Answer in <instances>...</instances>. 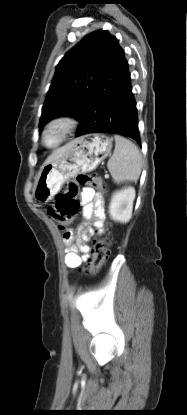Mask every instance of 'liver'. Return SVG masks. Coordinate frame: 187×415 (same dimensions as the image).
Wrapping results in <instances>:
<instances>
[{
    "instance_id": "1",
    "label": "liver",
    "mask_w": 187,
    "mask_h": 415,
    "mask_svg": "<svg viewBox=\"0 0 187 415\" xmlns=\"http://www.w3.org/2000/svg\"><path fill=\"white\" fill-rule=\"evenodd\" d=\"M67 149H69V144H67V145H65V146H63V147H61V148L53 151V153L47 158V160L45 161V163H50V162L58 159L60 156L63 155V153L65 151H67Z\"/></svg>"
}]
</instances>
